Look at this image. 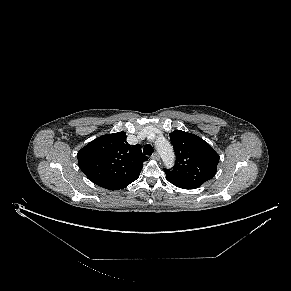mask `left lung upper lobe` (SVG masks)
<instances>
[{"instance_id": "1", "label": "left lung upper lobe", "mask_w": 291, "mask_h": 291, "mask_svg": "<svg viewBox=\"0 0 291 291\" xmlns=\"http://www.w3.org/2000/svg\"><path fill=\"white\" fill-rule=\"evenodd\" d=\"M169 136L176 161L173 169H164L168 181L175 186L199 187L213 178L220 157L206 141L181 130Z\"/></svg>"}]
</instances>
